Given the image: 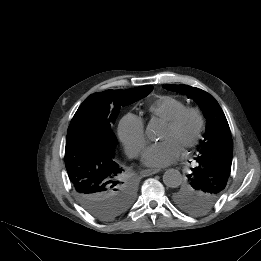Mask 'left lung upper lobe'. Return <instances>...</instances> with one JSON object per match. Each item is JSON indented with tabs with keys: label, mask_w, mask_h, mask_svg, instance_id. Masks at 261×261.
Instances as JSON below:
<instances>
[{
	"label": "left lung upper lobe",
	"mask_w": 261,
	"mask_h": 261,
	"mask_svg": "<svg viewBox=\"0 0 261 261\" xmlns=\"http://www.w3.org/2000/svg\"><path fill=\"white\" fill-rule=\"evenodd\" d=\"M164 88L187 95L199 104L206 118L204 139L189 180L173 193V201L191 214L211 209L223 194L230 175L233 141L226 117L213 96L195 87L164 85Z\"/></svg>",
	"instance_id": "obj_1"
}]
</instances>
